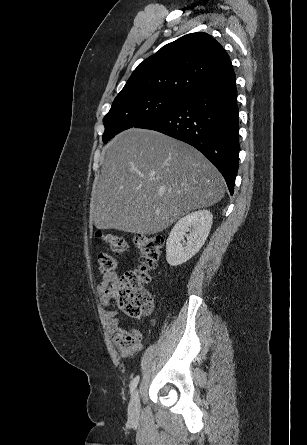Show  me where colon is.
Masks as SVG:
<instances>
[{"label":"colon","mask_w":307,"mask_h":445,"mask_svg":"<svg viewBox=\"0 0 307 445\" xmlns=\"http://www.w3.org/2000/svg\"><path fill=\"white\" fill-rule=\"evenodd\" d=\"M97 236L101 237L115 254L107 252L99 254L100 271L104 274L114 272L119 267L116 255L127 250V243L116 234L98 232ZM134 243L140 255L139 265L124 273L118 283L109 291V296L115 298L119 309L125 315L140 320L150 315L153 309L152 296L144 288V285L150 280V271L156 267L162 254L164 240L158 235L139 234Z\"/></svg>","instance_id":"colon-1"}]
</instances>
